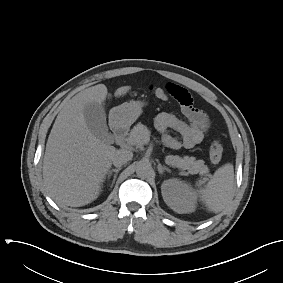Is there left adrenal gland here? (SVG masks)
I'll return each instance as SVG.
<instances>
[{"label": "left adrenal gland", "mask_w": 283, "mask_h": 283, "mask_svg": "<svg viewBox=\"0 0 283 283\" xmlns=\"http://www.w3.org/2000/svg\"><path fill=\"white\" fill-rule=\"evenodd\" d=\"M157 168H158L159 174H163L165 171L171 172L169 168H167L166 166H162L161 164H158Z\"/></svg>", "instance_id": "1"}]
</instances>
